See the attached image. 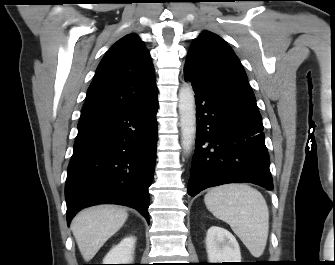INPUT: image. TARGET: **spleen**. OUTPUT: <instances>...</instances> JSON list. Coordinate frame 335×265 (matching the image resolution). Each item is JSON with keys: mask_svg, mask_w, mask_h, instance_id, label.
<instances>
[{"mask_svg": "<svg viewBox=\"0 0 335 265\" xmlns=\"http://www.w3.org/2000/svg\"><path fill=\"white\" fill-rule=\"evenodd\" d=\"M208 210L230 225L254 257L266 247L269 210L263 195L247 184H226L210 189L204 197Z\"/></svg>", "mask_w": 335, "mask_h": 265, "instance_id": "3e777b00", "label": "spleen"}]
</instances>
